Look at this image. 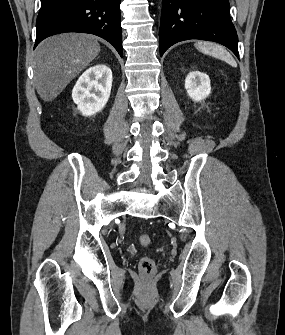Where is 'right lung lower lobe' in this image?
<instances>
[{
  "label": "right lung lower lobe",
  "instance_id": "98d812e1",
  "mask_svg": "<svg viewBox=\"0 0 285 335\" xmlns=\"http://www.w3.org/2000/svg\"><path fill=\"white\" fill-rule=\"evenodd\" d=\"M121 0H41L34 48L65 32L90 33L110 42L122 57Z\"/></svg>",
  "mask_w": 285,
  "mask_h": 335
}]
</instances>
